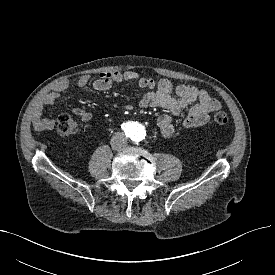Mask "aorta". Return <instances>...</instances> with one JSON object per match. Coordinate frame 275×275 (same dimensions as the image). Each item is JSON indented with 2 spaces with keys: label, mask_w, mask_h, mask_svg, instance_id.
Segmentation results:
<instances>
[{
  "label": "aorta",
  "mask_w": 275,
  "mask_h": 275,
  "mask_svg": "<svg viewBox=\"0 0 275 275\" xmlns=\"http://www.w3.org/2000/svg\"><path fill=\"white\" fill-rule=\"evenodd\" d=\"M126 131L134 140H141L145 134L144 125L138 122L129 123L126 126Z\"/></svg>",
  "instance_id": "762f6f07"
}]
</instances>
